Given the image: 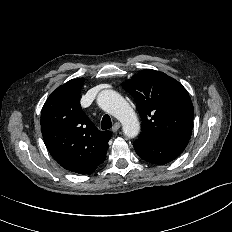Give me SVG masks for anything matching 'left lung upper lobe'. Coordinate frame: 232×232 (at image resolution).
I'll return each instance as SVG.
<instances>
[{"instance_id": "5c2ea615", "label": "left lung upper lobe", "mask_w": 232, "mask_h": 232, "mask_svg": "<svg viewBox=\"0 0 232 232\" xmlns=\"http://www.w3.org/2000/svg\"><path fill=\"white\" fill-rule=\"evenodd\" d=\"M142 119L138 139L191 138L194 108L186 89L163 72L145 69L122 83Z\"/></svg>"}]
</instances>
